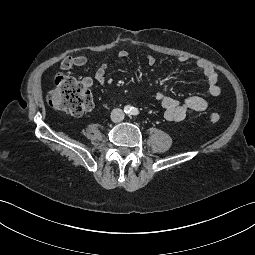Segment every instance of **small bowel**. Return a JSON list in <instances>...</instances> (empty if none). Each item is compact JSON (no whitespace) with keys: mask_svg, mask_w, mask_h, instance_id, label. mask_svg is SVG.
Wrapping results in <instances>:
<instances>
[{"mask_svg":"<svg viewBox=\"0 0 255 255\" xmlns=\"http://www.w3.org/2000/svg\"><path fill=\"white\" fill-rule=\"evenodd\" d=\"M118 59L124 60L129 57L127 50H121L117 54ZM146 61L149 66L156 63V58L152 54L146 56ZM179 61L185 63L188 61L187 57H180ZM87 62V57L84 55L64 58L60 64L63 71H68L74 67L83 66ZM197 67L202 72L206 79L208 92L211 96L217 97L221 93L218 85V72L210 65L198 61ZM109 70V63L101 64L93 77L84 78L83 82L86 87H91L95 82L104 85L107 82V72ZM156 100L161 105L164 111V117L168 121H181L193 113L205 111L208 108V102L201 96H190L183 102H179L171 97L166 96L163 92L159 91L156 94Z\"/></svg>","mask_w":255,"mask_h":255,"instance_id":"c3829d8e","label":"small bowel"}]
</instances>
